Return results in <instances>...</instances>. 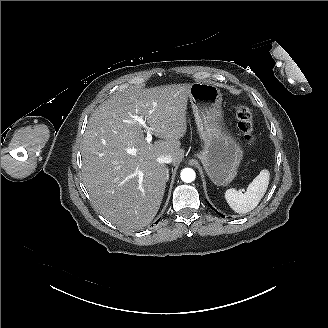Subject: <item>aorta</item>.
Wrapping results in <instances>:
<instances>
[{"label": "aorta", "mask_w": 328, "mask_h": 328, "mask_svg": "<svg viewBox=\"0 0 328 328\" xmlns=\"http://www.w3.org/2000/svg\"><path fill=\"white\" fill-rule=\"evenodd\" d=\"M181 179L183 182L185 183H191L195 180L196 178V173L193 169L191 168H184L182 171H181Z\"/></svg>", "instance_id": "1"}]
</instances>
